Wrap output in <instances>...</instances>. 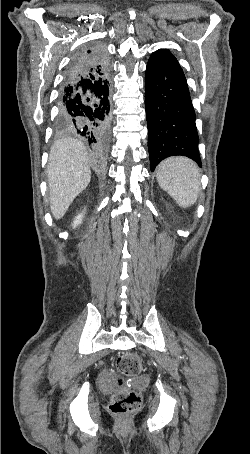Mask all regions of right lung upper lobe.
<instances>
[{
  "instance_id": "right-lung-upper-lobe-1",
  "label": "right lung upper lobe",
  "mask_w": 250,
  "mask_h": 454,
  "mask_svg": "<svg viewBox=\"0 0 250 454\" xmlns=\"http://www.w3.org/2000/svg\"><path fill=\"white\" fill-rule=\"evenodd\" d=\"M100 68V66H96V69Z\"/></svg>"
}]
</instances>
